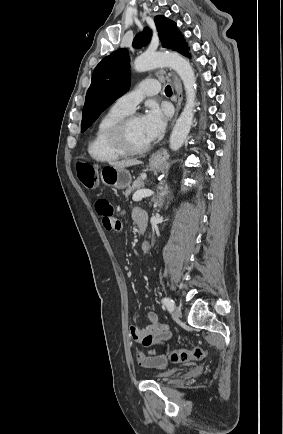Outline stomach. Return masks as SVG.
Segmentation results:
<instances>
[{
    "label": "stomach",
    "instance_id": "obj_1",
    "mask_svg": "<svg viewBox=\"0 0 283 434\" xmlns=\"http://www.w3.org/2000/svg\"><path fill=\"white\" fill-rule=\"evenodd\" d=\"M163 164L162 160L151 158L149 160L150 169L157 171ZM102 182L117 189H125L130 186L132 178L131 174L125 168H116L111 165L105 166L101 172Z\"/></svg>",
    "mask_w": 283,
    "mask_h": 434
}]
</instances>
